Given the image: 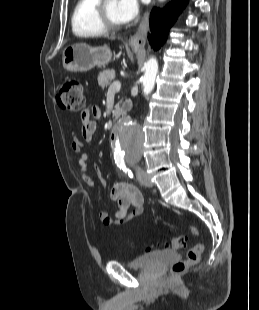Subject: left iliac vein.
<instances>
[{
    "instance_id": "obj_1",
    "label": "left iliac vein",
    "mask_w": 259,
    "mask_h": 310,
    "mask_svg": "<svg viewBox=\"0 0 259 310\" xmlns=\"http://www.w3.org/2000/svg\"><path fill=\"white\" fill-rule=\"evenodd\" d=\"M136 174H137L139 182L142 185L147 186V187H152L153 186L150 178L148 177V175L146 174V172L143 169L137 168L136 169Z\"/></svg>"
}]
</instances>
